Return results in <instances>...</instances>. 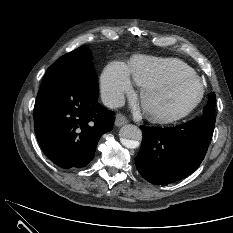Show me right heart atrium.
<instances>
[{
    "label": "right heart atrium",
    "instance_id": "1",
    "mask_svg": "<svg viewBox=\"0 0 233 233\" xmlns=\"http://www.w3.org/2000/svg\"><path fill=\"white\" fill-rule=\"evenodd\" d=\"M99 89L104 103L119 106L125 96L133 93V85L127 67L121 62H111L100 75Z\"/></svg>",
    "mask_w": 233,
    "mask_h": 233
}]
</instances>
